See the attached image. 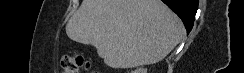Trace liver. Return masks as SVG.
<instances>
[{"instance_id": "6515ba94", "label": "liver", "mask_w": 244, "mask_h": 73, "mask_svg": "<svg viewBox=\"0 0 244 73\" xmlns=\"http://www.w3.org/2000/svg\"><path fill=\"white\" fill-rule=\"evenodd\" d=\"M184 33L182 21L160 0H83L66 25L71 40L96 47L112 68L157 63Z\"/></svg>"}]
</instances>
